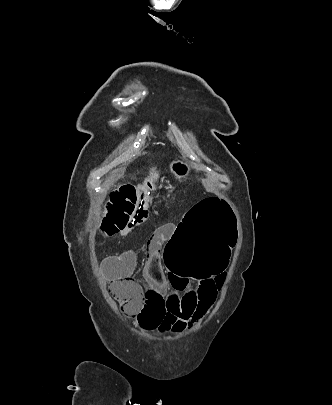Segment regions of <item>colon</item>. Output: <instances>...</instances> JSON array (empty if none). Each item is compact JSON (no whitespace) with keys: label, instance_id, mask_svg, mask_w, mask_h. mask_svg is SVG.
Instances as JSON below:
<instances>
[{"label":"colon","instance_id":"colon-1","mask_svg":"<svg viewBox=\"0 0 332 405\" xmlns=\"http://www.w3.org/2000/svg\"><path fill=\"white\" fill-rule=\"evenodd\" d=\"M137 190L124 184L110 193L101 222L105 235L113 236L138 222L139 217L131 215L132 208H137ZM230 210L231 203L223 202L222 197H200L189 205L185 220H176L172 240L164 249V268H169V275H188L190 281H207L208 275H216L214 288L220 289L226 268H230L228 257H234L239 241L236 214ZM110 290L126 313L142 311L143 293L133 279L115 280Z\"/></svg>","mask_w":332,"mask_h":405}]
</instances>
